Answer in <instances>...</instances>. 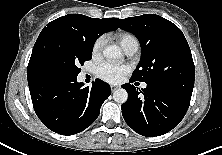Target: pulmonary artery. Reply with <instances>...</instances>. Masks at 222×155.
<instances>
[{
    "label": "pulmonary artery",
    "instance_id": "e3ab8cb5",
    "mask_svg": "<svg viewBox=\"0 0 222 155\" xmlns=\"http://www.w3.org/2000/svg\"><path fill=\"white\" fill-rule=\"evenodd\" d=\"M138 50V45L137 44H133L131 46H129L127 49H125V52L128 55H133L136 51ZM146 83L142 84V88H146Z\"/></svg>",
    "mask_w": 222,
    "mask_h": 155
}]
</instances>
